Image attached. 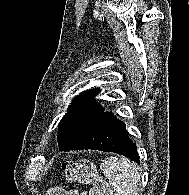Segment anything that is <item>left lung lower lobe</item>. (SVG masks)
I'll list each match as a JSON object with an SVG mask.
<instances>
[{"instance_id": "left-lung-lower-lobe-1", "label": "left lung lower lobe", "mask_w": 189, "mask_h": 195, "mask_svg": "<svg viewBox=\"0 0 189 195\" xmlns=\"http://www.w3.org/2000/svg\"><path fill=\"white\" fill-rule=\"evenodd\" d=\"M82 149L116 152L139 163L136 145L129 139L125 124L110 112H104V108L59 145L60 151Z\"/></svg>"}]
</instances>
